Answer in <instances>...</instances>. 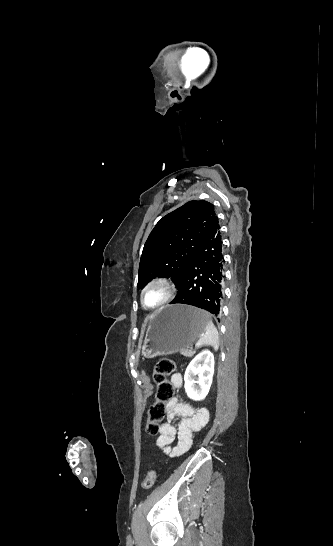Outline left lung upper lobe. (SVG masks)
<instances>
[{
    "instance_id": "5c2ea615",
    "label": "left lung upper lobe",
    "mask_w": 333,
    "mask_h": 546,
    "mask_svg": "<svg viewBox=\"0 0 333 546\" xmlns=\"http://www.w3.org/2000/svg\"><path fill=\"white\" fill-rule=\"evenodd\" d=\"M216 218L214 205L200 200L187 202L159 220L143 248L138 288L156 276L171 277L178 286Z\"/></svg>"
}]
</instances>
